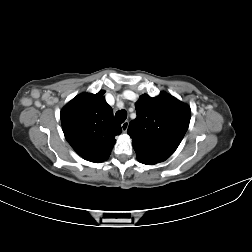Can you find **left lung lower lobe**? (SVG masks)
I'll list each match as a JSON object with an SVG mask.
<instances>
[{
  "mask_svg": "<svg viewBox=\"0 0 252 252\" xmlns=\"http://www.w3.org/2000/svg\"><path fill=\"white\" fill-rule=\"evenodd\" d=\"M138 161L146 165H154L156 162L137 157Z\"/></svg>",
  "mask_w": 252,
  "mask_h": 252,
  "instance_id": "left-lung-lower-lobe-1",
  "label": "left lung lower lobe"
}]
</instances>
